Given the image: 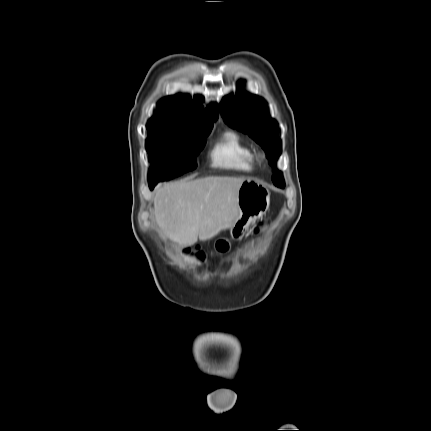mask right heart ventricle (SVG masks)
Here are the masks:
<instances>
[{
    "mask_svg": "<svg viewBox=\"0 0 431 431\" xmlns=\"http://www.w3.org/2000/svg\"><path fill=\"white\" fill-rule=\"evenodd\" d=\"M210 156L214 167L240 172H252L256 167L254 151L239 134L232 131L222 135Z\"/></svg>",
    "mask_w": 431,
    "mask_h": 431,
    "instance_id": "right-heart-ventricle-1",
    "label": "right heart ventricle"
}]
</instances>
